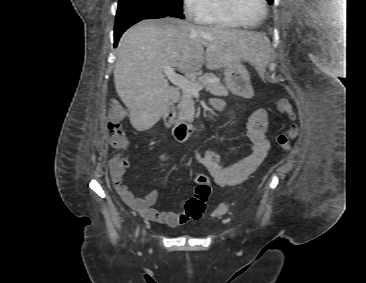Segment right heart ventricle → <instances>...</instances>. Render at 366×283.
I'll list each match as a JSON object with an SVG mask.
<instances>
[{"label": "right heart ventricle", "instance_id": "1", "mask_svg": "<svg viewBox=\"0 0 366 283\" xmlns=\"http://www.w3.org/2000/svg\"><path fill=\"white\" fill-rule=\"evenodd\" d=\"M199 22L223 29H234L239 26L225 12L222 0H209L207 10L199 19Z\"/></svg>", "mask_w": 366, "mask_h": 283}]
</instances>
